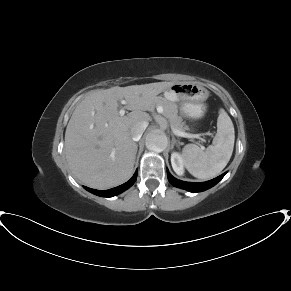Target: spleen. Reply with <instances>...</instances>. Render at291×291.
I'll use <instances>...</instances> for the list:
<instances>
[{"label": "spleen", "mask_w": 291, "mask_h": 291, "mask_svg": "<svg viewBox=\"0 0 291 291\" xmlns=\"http://www.w3.org/2000/svg\"><path fill=\"white\" fill-rule=\"evenodd\" d=\"M235 141V131L229 115L220 109L217 119V133L212 145L205 151L195 144H188L182 150L187 170L196 178L210 179L217 176L228 164Z\"/></svg>", "instance_id": "1"}]
</instances>
